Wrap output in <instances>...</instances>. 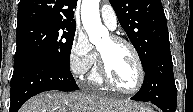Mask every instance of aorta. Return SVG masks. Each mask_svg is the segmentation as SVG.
<instances>
[{
    "instance_id": "obj_1",
    "label": "aorta",
    "mask_w": 193,
    "mask_h": 112,
    "mask_svg": "<svg viewBox=\"0 0 193 112\" xmlns=\"http://www.w3.org/2000/svg\"><path fill=\"white\" fill-rule=\"evenodd\" d=\"M100 0H83L81 5V20L89 40L98 44L108 37V30L102 25L99 13Z\"/></svg>"
}]
</instances>
